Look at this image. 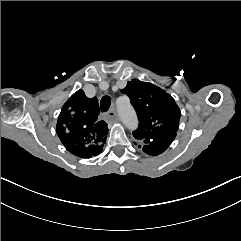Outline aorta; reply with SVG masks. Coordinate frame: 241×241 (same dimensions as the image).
<instances>
[{"label": "aorta", "mask_w": 241, "mask_h": 241, "mask_svg": "<svg viewBox=\"0 0 241 241\" xmlns=\"http://www.w3.org/2000/svg\"><path fill=\"white\" fill-rule=\"evenodd\" d=\"M118 113L121 117L122 122L129 128L133 129L137 125V118L134 109L129 103L119 102Z\"/></svg>", "instance_id": "aorta-1"}]
</instances>
